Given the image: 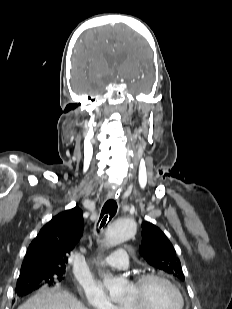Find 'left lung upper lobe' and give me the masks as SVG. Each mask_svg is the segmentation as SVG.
I'll return each instance as SVG.
<instances>
[{"mask_svg":"<svg viewBox=\"0 0 232 309\" xmlns=\"http://www.w3.org/2000/svg\"><path fill=\"white\" fill-rule=\"evenodd\" d=\"M140 253L147 263L157 269L184 280L180 260L166 235L150 222L142 224Z\"/></svg>","mask_w":232,"mask_h":309,"instance_id":"left-lung-upper-lobe-1","label":"left lung upper lobe"}]
</instances>
